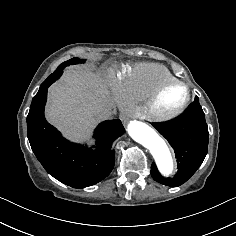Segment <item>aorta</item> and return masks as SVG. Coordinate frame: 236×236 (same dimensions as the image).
I'll use <instances>...</instances> for the list:
<instances>
[{
  "label": "aorta",
  "mask_w": 236,
  "mask_h": 236,
  "mask_svg": "<svg viewBox=\"0 0 236 236\" xmlns=\"http://www.w3.org/2000/svg\"><path fill=\"white\" fill-rule=\"evenodd\" d=\"M127 130L133 140L150 151L159 172L164 177L171 176L174 163L171 152L164 139L149 125L136 120L128 124Z\"/></svg>",
  "instance_id": "762f6f07"
}]
</instances>
